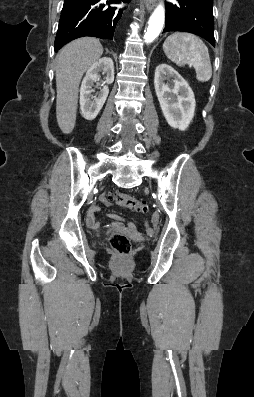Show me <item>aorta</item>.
I'll use <instances>...</instances> for the list:
<instances>
[{
    "mask_svg": "<svg viewBox=\"0 0 254 397\" xmlns=\"http://www.w3.org/2000/svg\"><path fill=\"white\" fill-rule=\"evenodd\" d=\"M165 20V9L162 4H160L152 13L148 28L144 35V40L146 43H151L160 34Z\"/></svg>",
    "mask_w": 254,
    "mask_h": 397,
    "instance_id": "obj_1",
    "label": "aorta"
}]
</instances>
